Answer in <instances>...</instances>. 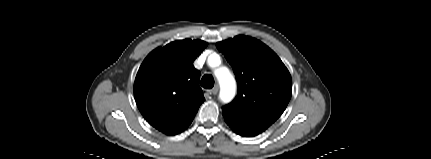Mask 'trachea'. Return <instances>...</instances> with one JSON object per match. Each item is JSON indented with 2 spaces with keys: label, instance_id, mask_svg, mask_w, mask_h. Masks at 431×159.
Wrapping results in <instances>:
<instances>
[{
  "label": "trachea",
  "instance_id": "1",
  "mask_svg": "<svg viewBox=\"0 0 431 159\" xmlns=\"http://www.w3.org/2000/svg\"><path fill=\"white\" fill-rule=\"evenodd\" d=\"M201 86L206 89H210L214 86V78L210 74H205L200 82Z\"/></svg>",
  "mask_w": 431,
  "mask_h": 159
}]
</instances>
